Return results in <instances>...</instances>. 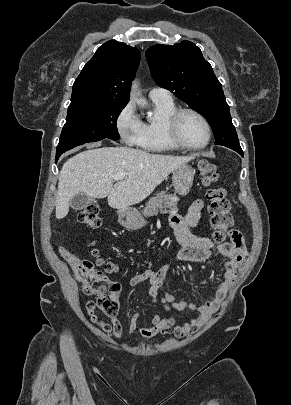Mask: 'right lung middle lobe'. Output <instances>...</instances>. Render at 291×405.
Listing matches in <instances>:
<instances>
[{
  "instance_id": "dd1d6c3e",
  "label": "right lung middle lobe",
  "mask_w": 291,
  "mask_h": 405,
  "mask_svg": "<svg viewBox=\"0 0 291 405\" xmlns=\"http://www.w3.org/2000/svg\"><path fill=\"white\" fill-rule=\"evenodd\" d=\"M126 106L116 102H88L70 105L56 151V162L61 154L84 143L104 138L118 140L116 121Z\"/></svg>"
}]
</instances>
